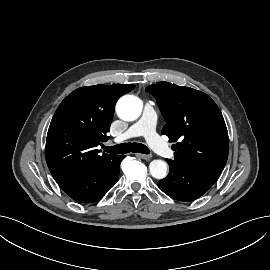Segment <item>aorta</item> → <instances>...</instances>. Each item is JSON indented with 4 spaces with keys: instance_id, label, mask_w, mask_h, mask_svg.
Returning a JSON list of instances; mask_svg holds the SVG:
<instances>
[{
    "instance_id": "1",
    "label": "aorta",
    "mask_w": 270,
    "mask_h": 270,
    "mask_svg": "<svg viewBox=\"0 0 270 270\" xmlns=\"http://www.w3.org/2000/svg\"><path fill=\"white\" fill-rule=\"evenodd\" d=\"M116 112L122 120L134 121L142 112V102L134 95H125L118 100ZM167 169V163L163 160H153L149 165L150 174L156 179H164Z\"/></svg>"
}]
</instances>
